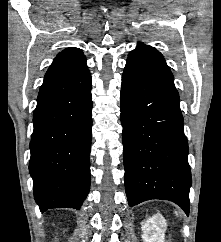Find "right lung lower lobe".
I'll use <instances>...</instances> for the list:
<instances>
[{"instance_id": "98d812e1", "label": "right lung lower lobe", "mask_w": 221, "mask_h": 242, "mask_svg": "<svg viewBox=\"0 0 221 242\" xmlns=\"http://www.w3.org/2000/svg\"><path fill=\"white\" fill-rule=\"evenodd\" d=\"M92 106L89 70L39 91L29 171L41 211L79 209L89 192Z\"/></svg>"}]
</instances>
